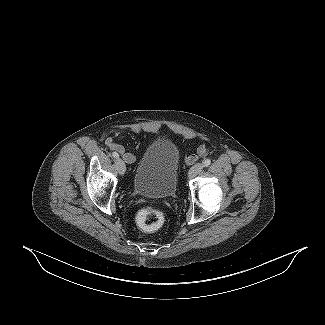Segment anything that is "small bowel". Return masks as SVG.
<instances>
[{
    "mask_svg": "<svg viewBox=\"0 0 325 325\" xmlns=\"http://www.w3.org/2000/svg\"><path fill=\"white\" fill-rule=\"evenodd\" d=\"M105 144L109 149L120 153L126 163L131 164L135 162L136 160L135 156L132 153L126 152L124 147L120 143L115 141L113 138H107ZM205 152H206V148L200 147L196 155H190L187 157V161L192 163L196 161L198 156L203 155Z\"/></svg>",
    "mask_w": 325,
    "mask_h": 325,
    "instance_id": "1",
    "label": "small bowel"
}]
</instances>
